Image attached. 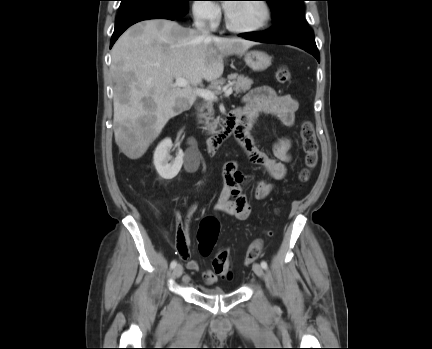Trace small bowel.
I'll return each mask as SVG.
<instances>
[{
  "label": "small bowel",
  "mask_w": 432,
  "mask_h": 349,
  "mask_svg": "<svg viewBox=\"0 0 432 349\" xmlns=\"http://www.w3.org/2000/svg\"><path fill=\"white\" fill-rule=\"evenodd\" d=\"M245 106L237 109L241 115V121L234 132L235 139L247 159L254 165L262 168L271 179L282 180L287 174L286 164L291 161L292 142L287 137L276 140L273 144L274 157L268 156L255 144L251 135V128L260 114H268L277 117L282 124L291 127L295 123V114L298 110V101L290 94H279L272 87L261 86L251 89L244 97ZM199 166V156L194 151H189L185 157V170L194 172ZM224 185L217 199L215 208L218 212L234 216L238 220H246L251 214V206L243 191V185L249 177L241 172L239 163L235 160L225 162L223 166ZM273 185L270 181L256 180L252 186V194L255 199L263 200L272 191ZM196 204L189 207L193 212ZM178 232L176 244L179 256L187 260V268L198 271L199 264L190 258L188 240L182 229L179 215H177ZM182 241V243H179ZM206 284L211 285L217 281V275L212 270L202 273Z\"/></svg>",
  "instance_id": "c3829d8e"
}]
</instances>
